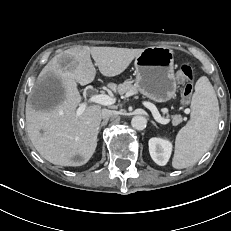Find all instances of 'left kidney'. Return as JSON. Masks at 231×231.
<instances>
[{"mask_svg":"<svg viewBox=\"0 0 231 231\" xmlns=\"http://www.w3.org/2000/svg\"><path fill=\"white\" fill-rule=\"evenodd\" d=\"M148 144L153 161L160 166L166 165L172 151L171 142L161 138H151Z\"/></svg>","mask_w":231,"mask_h":231,"instance_id":"left-kidney-1","label":"left kidney"}]
</instances>
